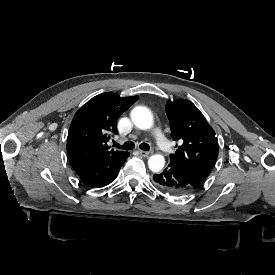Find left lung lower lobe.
Returning a JSON list of instances; mask_svg holds the SVG:
<instances>
[{"label": "left lung lower lobe", "mask_w": 275, "mask_h": 275, "mask_svg": "<svg viewBox=\"0 0 275 275\" xmlns=\"http://www.w3.org/2000/svg\"><path fill=\"white\" fill-rule=\"evenodd\" d=\"M153 180L159 189L173 195L189 194L195 189L170 165L162 173L155 174Z\"/></svg>", "instance_id": "0a47b994"}]
</instances>
